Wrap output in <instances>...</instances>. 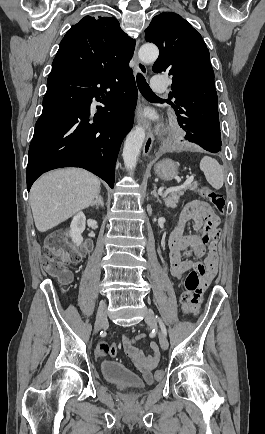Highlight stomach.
<instances>
[{
    "label": "stomach",
    "mask_w": 265,
    "mask_h": 434,
    "mask_svg": "<svg viewBox=\"0 0 265 434\" xmlns=\"http://www.w3.org/2000/svg\"><path fill=\"white\" fill-rule=\"evenodd\" d=\"M154 172L158 178H161V180H172L174 176H177V164H175L173 160L165 158V160H161V162L155 164Z\"/></svg>",
    "instance_id": "obj_1"
}]
</instances>
